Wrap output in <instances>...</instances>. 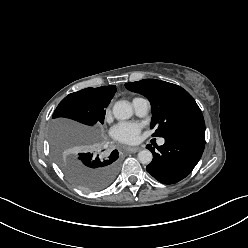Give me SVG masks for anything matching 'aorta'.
<instances>
[{"mask_svg": "<svg viewBox=\"0 0 248 248\" xmlns=\"http://www.w3.org/2000/svg\"><path fill=\"white\" fill-rule=\"evenodd\" d=\"M113 115L118 120H126L131 118L133 115V110L127 101H118L113 106ZM151 151L144 149L138 153V160L142 164H149L152 161Z\"/></svg>", "mask_w": 248, "mask_h": 248, "instance_id": "1", "label": "aorta"}]
</instances>
